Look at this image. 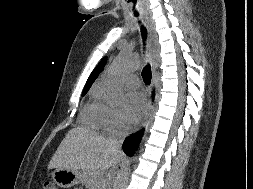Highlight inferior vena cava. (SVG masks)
<instances>
[{
    "label": "inferior vena cava",
    "mask_w": 253,
    "mask_h": 189,
    "mask_svg": "<svg viewBox=\"0 0 253 189\" xmlns=\"http://www.w3.org/2000/svg\"><path fill=\"white\" fill-rule=\"evenodd\" d=\"M123 137H124L123 134H119L116 138L110 140V145L113 148V150L116 151L117 153H121V154H122L121 146H122ZM116 167L112 169L108 179H105L102 182L103 185H105L107 183H111L112 178H113L115 171H116ZM103 185L101 187L98 186V188H103Z\"/></svg>",
    "instance_id": "602c4592"
}]
</instances>
